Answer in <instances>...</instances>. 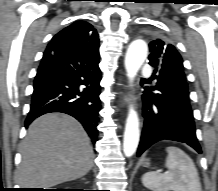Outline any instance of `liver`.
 Here are the masks:
<instances>
[{"label":"liver","instance_id":"liver-1","mask_svg":"<svg viewBox=\"0 0 218 191\" xmlns=\"http://www.w3.org/2000/svg\"><path fill=\"white\" fill-rule=\"evenodd\" d=\"M18 180L24 188H48L76 180L93 167L94 153L82 125L65 114L50 113L28 128L21 146Z\"/></svg>","mask_w":218,"mask_h":191}]
</instances>
